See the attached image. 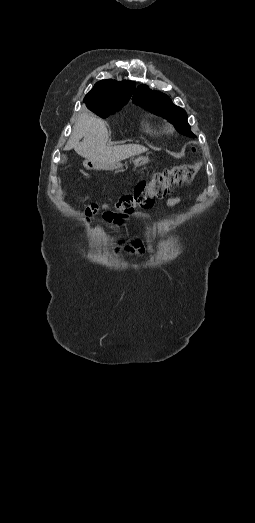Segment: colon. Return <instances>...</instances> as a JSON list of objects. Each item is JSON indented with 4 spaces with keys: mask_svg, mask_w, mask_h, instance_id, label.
<instances>
[{
    "mask_svg": "<svg viewBox=\"0 0 255 523\" xmlns=\"http://www.w3.org/2000/svg\"><path fill=\"white\" fill-rule=\"evenodd\" d=\"M199 169L200 163H193L177 165L158 172L150 180L139 182L134 192L121 197L112 209H108L107 205L91 204L86 207L85 214L90 217L103 210V217L107 221L120 223L137 208L149 209L157 199L165 197L175 187L192 181Z\"/></svg>",
    "mask_w": 255,
    "mask_h": 523,
    "instance_id": "1",
    "label": "colon"
}]
</instances>
